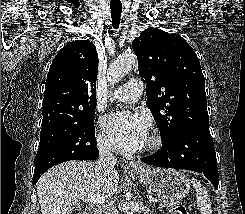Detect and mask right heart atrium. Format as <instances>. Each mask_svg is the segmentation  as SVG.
<instances>
[{
	"label": "right heart atrium",
	"instance_id": "right-heart-atrium-1",
	"mask_svg": "<svg viewBox=\"0 0 245 214\" xmlns=\"http://www.w3.org/2000/svg\"><path fill=\"white\" fill-rule=\"evenodd\" d=\"M97 144H98V147L102 153L109 154L111 152L105 138L103 137V135L99 134L97 136Z\"/></svg>",
	"mask_w": 245,
	"mask_h": 214
}]
</instances>
